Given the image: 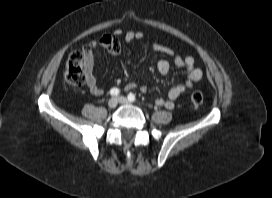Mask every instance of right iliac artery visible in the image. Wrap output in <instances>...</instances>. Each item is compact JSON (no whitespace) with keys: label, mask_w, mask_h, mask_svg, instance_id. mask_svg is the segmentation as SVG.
<instances>
[{"label":"right iliac artery","mask_w":272,"mask_h":198,"mask_svg":"<svg viewBox=\"0 0 272 198\" xmlns=\"http://www.w3.org/2000/svg\"><path fill=\"white\" fill-rule=\"evenodd\" d=\"M119 93H120V91H119L118 88H112V89L110 90V94H111L112 96H117Z\"/></svg>","instance_id":"82829eb1"}]
</instances>
